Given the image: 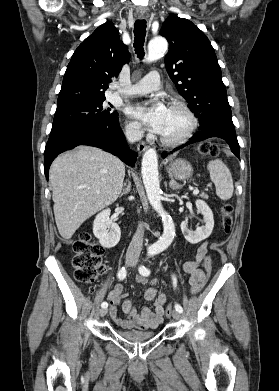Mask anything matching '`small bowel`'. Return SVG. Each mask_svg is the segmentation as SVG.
<instances>
[{"instance_id":"obj_1","label":"small bowel","mask_w":279,"mask_h":391,"mask_svg":"<svg viewBox=\"0 0 279 391\" xmlns=\"http://www.w3.org/2000/svg\"><path fill=\"white\" fill-rule=\"evenodd\" d=\"M207 254V243L200 245L193 260L187 261L183 264V270L190 275L189 284L192 286L196 282L205 277L202 268L206 269L205 256ZM137 282L141 285L147 283L145 277H138ZM157 280L151 281L152 287L147 289L144 297L147 300H154V309L148 307L137 311L133 302L127 299V294L124 292V286L117 284L109 293V315L113 322L118 326L126 329L147 330L158 327L163 322L164 305L167 297L164 293H158L155 286ZM122 304V310L126 314V318H121L117 314L118 306Z\"/></svg>"}]
</instances>
